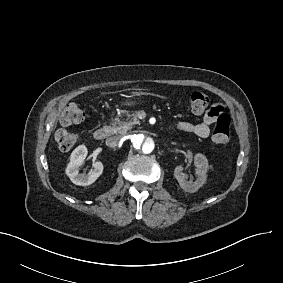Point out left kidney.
<instances>
[{"label": "left kidney", "mask_w": 283, "mask_h": 283, "mask_svg": "<svg viewBox=\"0 0 283 283\" xmlns=\"http://www.w3.org/2000/svg\"><path fill=\"white\" fill-rule=\"evenodd\" d=\"M194 164L197 167L196 174L198 176L194 182L187 181V175L183 173L182 166H177L174 170V177L177 179L180 187L190 193L198 191V189L203 186L207 180V170L209 168L207 158L201 153L195 155Z\"/></svg>", "instance_id": "5707ae66"}]
</instances>
